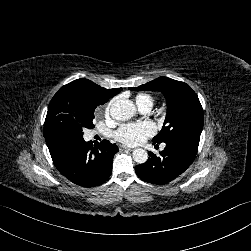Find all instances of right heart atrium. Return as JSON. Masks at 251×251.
<instances>
[{
  "label": "right heart atrium",
  "mask_w": 251,
  "mask_h": 251,
  "mask_svg": "<svg viewBox=\"0 0 251 251\" xmlns=\"http://www.w3.org/2000/svg\"><path fill=\"white\" fill-rule=\"evenodd\" d=\"M114 99L110 100L109 102H107L106 104L102 105L101 107L98 108V112L102 113L105 117H109L110 115V111L112 108V105L114 103Z\"/></svg>",
  "instance_id": "obj_1"
}]
</instances>
